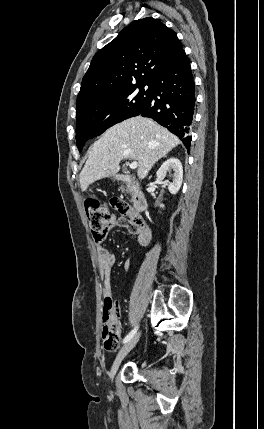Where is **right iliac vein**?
<instances>
[{
	"label": "right iliac vein",
	"mask_w": 264,
	"mask_h": 429,
	"mask_svg": "<svg viewBox=\"0 0 264 429\" xmlns=\"http://www.w3.org/2000/svg\"><path fill=\"white\" fill-rule=\"evenodd\" d=\"M139 338H140V333H137L121 348V350L117 354V356H116V358L112 364V367H111V370L109 373L111 380L114 379L122 360L134 348V346L137 344Z\"/></svg>",
	"instance_id": "63e3f726"
}]
</instances>
